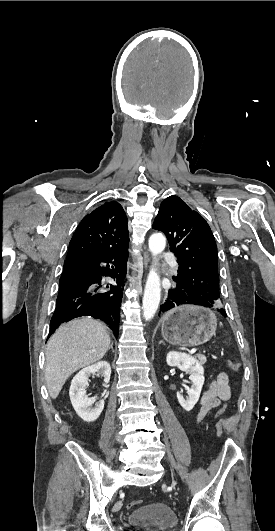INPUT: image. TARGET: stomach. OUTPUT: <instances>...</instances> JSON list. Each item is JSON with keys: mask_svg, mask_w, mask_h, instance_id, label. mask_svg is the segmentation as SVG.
I'll return each instance as SVG.
<instances>
[{"mask_svg": "<svg viewBox=\"0 0 275 531\" xmlns=\"http://www.w3.org/2000/svg\"><path fill=\"white\" fill-rule=\"evenodd\" d=\"M217 329V317L211 309L200 307L199 301H180L161 319L163 339L170 345L197 347L207 343Z\"/></svg>", "mask_w": 275, "mask_h": 531, "instance_id": "1", "label": "stomach"}]
</instances>
